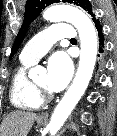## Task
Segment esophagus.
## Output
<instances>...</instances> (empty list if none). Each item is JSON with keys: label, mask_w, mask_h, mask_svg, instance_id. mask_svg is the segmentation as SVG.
Wrapping results in <instances>:
<instances>
[{"label": "esophagus", "mask_w": 117, "mask_h": 136, "mask_svg": "<svg viewBox=\"0 0 117 136\" xmlns=\"http://www.w3.org/2000/svg\"><path fill=\"white\" fill-rule=\"evenodd\" d=\"M48 116H49V113H48V112H44V113H42V114L39 116V118H40V119H47Z\"/></svg>", "instance_id": "34e87169"}]
</instances>
